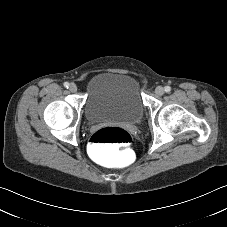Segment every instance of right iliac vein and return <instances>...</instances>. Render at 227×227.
<instances>
[{"instance_id":"63e3f726","label":"right iliac vein","mask_w":227,"mask_h":227,"mask_svg":"<svg viewBox=\"0 0 227 227\" xmlns=\"http://www.w3.org/2000/svg\"><path fill=\"white\" fill-rule=\"evenodd\" d=\"M69 90H70V92H72V93L76 92V91H77V86H76V84L71 83V84L69 85Z\"/></svg>"}]
</instances>
